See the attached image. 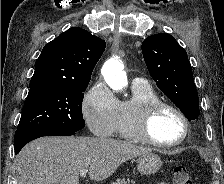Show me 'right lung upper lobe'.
Here are the masks:
<instances>
[{"mask_svg": "<svg viewBox=\"0 0 224 184\" xmlns=\"http://www.w3.org/2000/svg\"><path fill=\"white\" fill-rule=\"evenodd\" d=\"M104 50V40L85 29L72 27L43 47L30 87L88 84Z\"/></svg>", "mask_w": 224, "mask_h": 184, "instance_id": "cb5924a9", "label": "right lung upper lobe"}]
</instances>
